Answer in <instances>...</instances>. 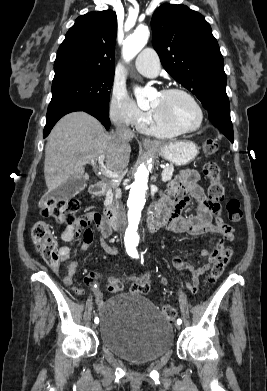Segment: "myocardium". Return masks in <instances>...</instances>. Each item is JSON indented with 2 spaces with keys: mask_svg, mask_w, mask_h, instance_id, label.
Listing matches in <instances>:
<instances>
[{
  "mask_svg": "<svg viewBox=\"0 0 267 391\" xmlns=\"http://www.w3.org/2000/svg\"><path fill=\"white\" fill-rule=\"evenodd\" d=\"M160 94L162 96H170L173 94H180V95H183L186 98H188L194 104V106L196 107V109L198 111L199 121H198L197 125L193 128H181V127L174 125L170 121L164 119L155 109H152L151 113H152L153 118L156 121V123H158L159 125H161L165 128H168L178 134L192 133V132L199 130L203 126L204 120H205L204 110H203V107L200 104V102L197 100V98L192 93H190L189 91H187L183 88L171 87V88L163 89L160 92Z\"/></svg>",
  "mask_w": 267,
  "mask_h": 391,
  "instance_id": "f54148a6",
  "label": "myocardium"
}]
</instances>
